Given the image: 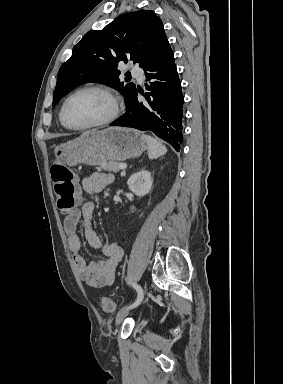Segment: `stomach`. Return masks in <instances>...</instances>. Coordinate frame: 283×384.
<instances>
[{"instance_id": "obj_1", "label": "stomach", "mask_w": 283, "mask_h": 384, "mask_svg": "<svg viewBox=\"0 0 283 384\" xmlns=\"http://www.w3.org/2000/svg\"><path fill=\"white\" fill-rule=\"evenodd\" d=\"M144 150H147L146 140L137 130L106 128L57 146L54 156L56 160H63L67 166H101L106 162H123L128 158H138Z\"/></svg>"}]
</instances>
